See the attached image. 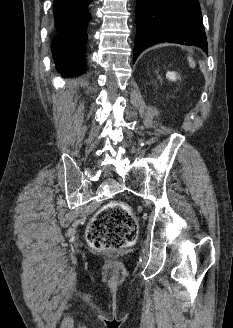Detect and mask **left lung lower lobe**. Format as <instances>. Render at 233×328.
<instances>
[{
  "label": "left lung lower lobe",
  "instance_id": "left-lung-lower-lobe-1",
  "mask_svg": "<svg viewBox=\"0 0 233 328\" xmlns=\"http://www.w3.org/2000/svg\"><path fill=\"white\" fill-rule=\"evenodd\" d=\"M137 33L134 62L157 43L194 44L207 53V39L198 0H136Z\"/></svg>",
  "mask_w": 233,
  "mask_h": 328
}]
</instances>
